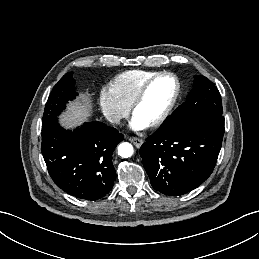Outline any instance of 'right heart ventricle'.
I'll use <instances>...</instances> for the list:
<instances>
[{
	"label": "right heart ventricle",
	"mask_w": 259,
	"mask_h": 259,
	"mask_svg": "<svg viewBox=\"0 0 259 259\" xmlns=\"http://www.w3.org/2000/svg\"><path fill=\"white\" fill-rule=\"evenodd\" d=\"M157 72L129 70L117 75L111 82V90L127 106H131L141 86Z\"/></svg>",
	"instance_id": "obj_1"
}]
</instances>
